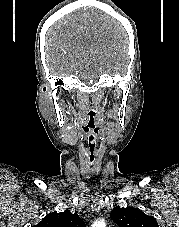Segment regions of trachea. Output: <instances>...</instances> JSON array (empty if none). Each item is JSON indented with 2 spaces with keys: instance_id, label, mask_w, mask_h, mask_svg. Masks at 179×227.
Masks as SVG:
<instances>
[{
  "instance_id": "trachea-1",
  "label": "trachea",
  "mask_w": 179,
  "mask_h": 227,
  "mask_svg": "<svg viewBox=\"0 0 179 227\" xmlns=\"http://www.w3.org/2000/svg\"><path fill=\"white\" fill-rule=\"evenodd\" d=\"M95 154H96L95 150H90L88 157L93 159L95 157ZM92 159L89 161L91 164L94 162Z\"/></svg>"
}]
</instances>
